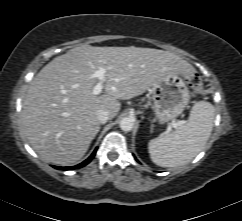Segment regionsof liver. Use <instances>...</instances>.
<instances>
[{
  "label": "liver",
  "instance_id": "6515ba94",
  "mask_svg": "<svg viewBox=\"0 0 242 221\" xmlns=\"http://www.w3.org/2000/svg\"><path fill=\"white\" fill-rule=\"evenodd\" d=\"M100 68L106 69L105 92L94 95L98 79L92 75ZM194 72L169 51L77 46L50 61L31 82L23 101V133L42 160L76 163L100 129L97 110L114 118L121 108L118 99L142 95L163 77Z\"/></svg>",
  "mask_w": 242,
  "mask_h": 221
}]
</instances>
